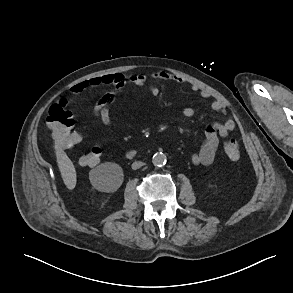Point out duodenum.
<instances>
[{"label": "duodenum", "mask_w": 293, "mask_h": 293, "mask_svg": "<svg viewBox=\"0 0 293 293\" xmlns=\"http://www.w3.org/2000/svg\"><path fill=\"white\" fill-rule=\"evenodd\" d=\"M137 151L136 150H129L126 152V158L132 159L136 156Z\"/></svg>", "instance_id": "410a0bca"}]
</instances>
